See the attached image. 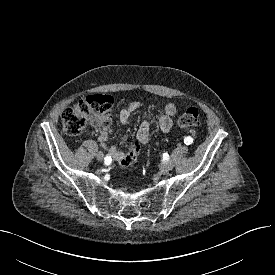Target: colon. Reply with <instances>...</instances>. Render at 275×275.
<instances>
[{
    "label": "colon",
    "instance_id": "obj_1",
    "mask_svg": "<svg viewBox=\"0 0 275 275\" xmlns=\"http://www.w3.org/2000/svg\"><path fill=\"white\" fill-rule=\"evenodd\" d=\"M113 100L107 95H92L80 100L77 104L66 108L62 112L63 131L69 137L79 135L85 126L93 121L104 123L109 120ZM181 128L199 127L201 125V111L196 107L188 108L179 118ZM139 149H136L138 151ZM133 154L122 161L121 166H128L136 158Z\"/></svg>",
    "mask_w": 275,
    "mask_h": 275
}]
</instances>
